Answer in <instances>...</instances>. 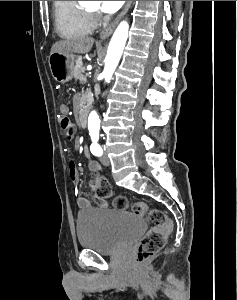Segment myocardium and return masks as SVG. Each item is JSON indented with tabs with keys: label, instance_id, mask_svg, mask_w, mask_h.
Segmentation results:
<instances>
[{
	"label": "myocardium",
	"instance_id": "obj_1",
	"mask_svg": "<svg viewBox=\"0 0 237 300\" xmlns=\"http://www.w3.org/2000/svg\"><path fill=\"white\" fill-rule=\"evenodd\" d=\"M89 15L93 16V15H96L98 13L97 10H94V9H91V8H87L85 10Z\"/></svg>",
	"mask_w": 237,
	"mask_h": 300
}]
</instances>
